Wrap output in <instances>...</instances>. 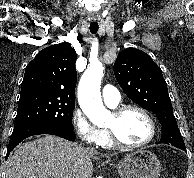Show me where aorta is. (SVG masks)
Masks as SVG:
<instances>
[{"label":"aorta","mask_w":194,"mask_h":178,"mask_svg":"<svg viewBox=\"0 0 194 178\" xmlns=\"http://www.w3.org/2000/svg\"><path fill=\"white\" fill-rule=\"evenodd\" d=\"M103 70L102 63H91L83 73L78 86L79 105L94 124L103 123L109 114L100 93Z\"/></svg>","instance_id":"762f6f07"}]
</instances>
